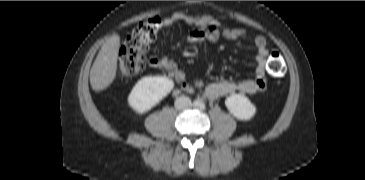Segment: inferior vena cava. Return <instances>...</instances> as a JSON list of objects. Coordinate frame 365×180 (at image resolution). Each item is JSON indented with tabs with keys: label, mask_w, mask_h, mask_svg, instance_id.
Instances as JSON below:
<instances>
[{
	"label": "inferior vena cava",
	"mask_w": 365,
	"mask_h": 180,
	"mask_svg": "<svg viewBox=\"0 0 365 180\" xmlns=\"http://www.w3.org/2000/svg\"><path fill=\"white\" fill-rule=\"evenodd\" d=\"M191 106V100L186 96H181L175 100V108L178 110L189 109Z\"/></svg>",
	"instance_id": "obj_1"
}]
</instances>
